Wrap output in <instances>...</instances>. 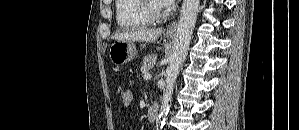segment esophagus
<instances>
[{
  "mask_svg": "<svg viewBox=\"0 0 299 130\" xmlns=\"http://www.w3.org/2000/svg\"><path fill=\"white\" fill-rule=\"evenodd\" d=\"M177 23L178 19L175 18L166 28L165 33L166 34H174L177 29Z\"/></svg>",
  "mask_w": 299,
  "mask_h": 130,
  "instance_id": "obj_1",
  "label": "esophagus"
}]
</instances>
